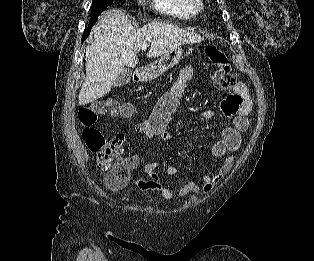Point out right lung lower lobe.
Returning a JSON list of instances; mask_svg holds the SVG:
<instances>
[{
    "label": "right lung lower lobe",
    "mask_w": 314,
    "mask_h": 261,
    "mask_svg": "<svg viewBox=\"0 0 314 261\" xmlns=\"http://www.w3.org/2000/svg\"><path fill=\"white\" fill-rule=\"evenodd\" d=\"M92 26H93V25H89V26H88V31H86V32L83 34L82 42H83V41L87 38V36L89 35Z\"/></svg>",
    "instance_id": "98d812e1"
}]
</instances>
